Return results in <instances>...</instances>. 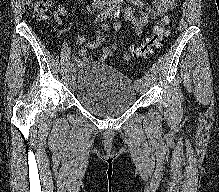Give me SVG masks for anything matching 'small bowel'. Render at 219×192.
Returning <instances> with one entry per match:
<instances>
[{"instance_id":"obj_1","label":"small bowel","mask_w":219,"mask_h":192,"mask_svg":"<svg viewBox=\"0 0 219 192\" xmlns=\"http://www.w3.org/2000/svg\"><path fill=\"white\" fill-rule=\"evenodd\" d=\"M129 2L132 6L124 8L122 13L126 20L134 24L137 35H141L143 30L152 20L165 15L169 10L174 9L176 6L175 0H152L153 7L147 6L143 0H129ZM136 11L140 12L139 17L135 15ZM54 15L57 24L62 26L61 17L67 15V10L63 5H57ZM103 27L104 29H107V24L103 23ZM72 42L84 45V47L78 50L73 56L74 62H76L78 66H83L93 60L89 51L99 49L104 42V37L100 35L91 38L78 36L75 37ZM101 58H104V56L102 55Z\"/></svg>"}]
</instances>
